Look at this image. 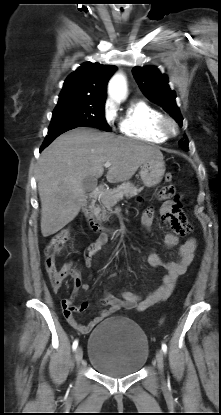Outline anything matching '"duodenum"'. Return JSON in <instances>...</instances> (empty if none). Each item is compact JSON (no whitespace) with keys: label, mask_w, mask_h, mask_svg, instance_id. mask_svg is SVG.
<instances>
[{"label":"duodenum","mask_w":221,"mask_h":415,"mask_svg":"<svg viewBox=\"0 0 221 415\" xmlns=\"http://www.w3.org/2000/svg\"><path fill=\"white\" fill-rule=\"evenodd\" d=\"M101 191V187H97L96 189H94L91 193H89L83 205V213L88 222V225L92 229V231L96 233H103L105 231L95 217V205L97 199L101 194ZM111 232L116 233L117 231L112 230Z\"/></svg>","instance_id":"duodenum-1"}]
</instances>
